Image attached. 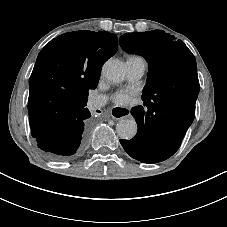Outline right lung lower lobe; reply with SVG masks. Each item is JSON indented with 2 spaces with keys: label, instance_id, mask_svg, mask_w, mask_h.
<instances>
[{
  "label": "right lung lower lobe",
  "instance_id": "obj_1",
  "mask_svg": "<svg viewBox=\"0 0 227 227\" xmlns=\"http://www.w3.org/2000/svg\"><path fill=\"white\" fill-rule=\"evenodd\" d=\"M86 102L73 105L68 113L69 121L49 132H32L40 149L53 160H65L78 153L86 140L87 123L91 114Z\"/></svg>",
  "mask_w": 227,
  "mask_h": 227
}]
</instances>
